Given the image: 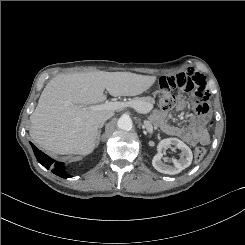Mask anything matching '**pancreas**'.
Here are the masks:
<instances>
[{
    "label": "pancreas",
    "instance_id": "pancreas-1",
    "mask_svg": "<svg viewBox=\"0 0 245 245\" xmlns=\"http://www.w3.org/2000/svg\"><path fill=\"white\" fill-rule=\"evenodd\" d=\"M128 102L134 103L138 105L139 107H144L147 105H153L155 101L152 97H136V98L129 100Z\"/></svg>",
    "mask_w": 245,
    "mask_h": 245
}]
</instances>
